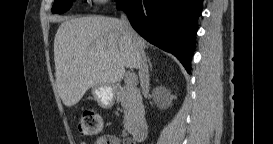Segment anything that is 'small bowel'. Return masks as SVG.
I'll list each match as a JSON object with an SVG mask.
<instances>
[{
  "instance_id": "obj_1",
  "label": "small bowel",
  "mask_w": 273,
  "mask_h": 144,
  "mask_svg": "<svg viewBox=\"0 0 273 144\" xmlns=\"http://www.w3.org/2000/svg\"><path fill=\"white\" fill-rule=\"evenodd\" d=\"M119 143H121L120 139L109 136V135L100 136L95 141V144H119ZM123 143H131V142L128 140H125L123 141Z\"/></svg>"
}]
</instances>
